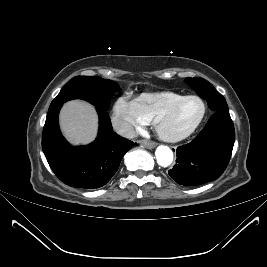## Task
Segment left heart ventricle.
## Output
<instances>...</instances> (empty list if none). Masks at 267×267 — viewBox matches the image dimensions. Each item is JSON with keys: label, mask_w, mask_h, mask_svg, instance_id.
<instances>
[{"label": "left heart ventricle", "mask_w": 267, "mask_h": 267, "mask_svg": "<svg viewBox=\"0 0 267 267\" xmlns=\"http://www.w3.org/2000/svg\"><path fill=\"white\" fill-rule=\"evenodd\" d=\"M202 109L198 100H188L162 123V129L173 135L183 133L199 119Z\"/></svg>", "instance_id": "obj_1"}]
</instances>
